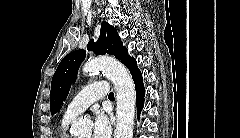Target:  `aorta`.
<instances>
[{"mask_svg":"<svg viewBox=\"0 0 240 138\" xmlns=\"http://www.w3.org/2000/svg\"><path fill=\"white\" fill-rule=\"evenodd\" d=\"M102 71L111 80L116 90L117 123L114 138H132L135 117L136 91L131 75L119 61L109 57L90 60L83 66V73L91 75ZM91 122L87 118H79L72 127L75 136L88 133Z\"/></svg>","mask_w":240,"mask_h":138,"instance_id":"762f6f07","label":"aorta"}]
</instances>
